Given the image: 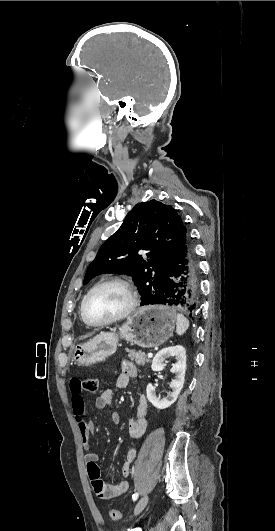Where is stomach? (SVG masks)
Listing matches in <instances>:
<instances>
[{"label":"stomach","instance_id":"1","mask_svg":"<svg viewBox=\"0 0 275 531\" xmlns=\"http://www.w3.org/2000/svg\"><path fill=\"white\" fill-rule=\"evenodd\" d=\"M176 313L169 301H148L146 307L138 309L128 317L119 333H100L87 343L74 347L73 361L79 367H90L105 361L117 351L119 339L130 341L143 349H153L172 337L176 323Z\"/></svg>","mask_w":275,"mask_h":531}]
</instances>
